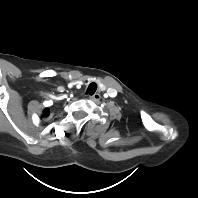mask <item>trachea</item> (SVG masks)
<instances>
[{
    "label": "trachea",
    "mask_w": 198,
    "mask_h": 198,
    "mask_svg": "<svg viewBox=\"0 0 198 198\" xmlns=\"http://www.w3.org/2000/svg\"><path fill=\"white\" fill-rule=\"evenodd\" d=\"M96 90H97V84L93 82L89 84L86 90V94L93 95L96 92Z\"/></svg>",
    "instance_id": "1"
}]
</instances>
